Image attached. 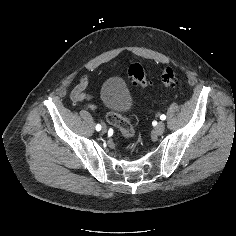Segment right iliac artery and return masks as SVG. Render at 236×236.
I'll use <instances>...</instances> for the list:
<instances>
[{"label": "right iliac artery", "mask_w": 236, "mask_h": 236, "mask_svg": "<svg viewBox=\"0 0 236 236\" xmlns=\"http://www.w3.org/2000/svg\"><path fill=\"white\" fill-rule=\"evenodd\" d=\"M95 128H96L97 131H100L102 127H101L100 124H97Z\"/></svg>", "instance_id": "right-iliac-artery-1"}]
</instances>
